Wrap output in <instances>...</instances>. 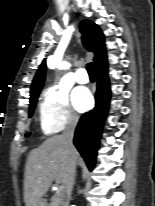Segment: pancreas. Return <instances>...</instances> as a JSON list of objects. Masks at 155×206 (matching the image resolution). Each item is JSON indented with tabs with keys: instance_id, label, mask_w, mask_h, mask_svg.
<instances>
[{
	"instance_id": "obj_1",
	"label": "pancreas",
	"mask_w": 155,
	"mask_h": 206,
	"mask_svg": "<svg viewBox=\"0 0 155 206\" xmlns=\"http://www.w3.org/2000/svg\"><path fill=\"white\" fill-rule=\"evenodd\" d=\"M63 203H64V196L58 193L51 197L49 206H63Z\"/></svg>"
}]
</instances>
